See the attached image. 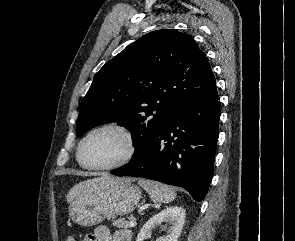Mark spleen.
I'll return each mask as SVG.
<instances>
[{
  "mask_svg": "<svg viewBox=\"0 0 295 241\" xmlns=\"http://www.w3.org/2000/svg\"><path fill=\"white\" fill-rule=\"evenodd\" d=\"M138 184L146 190L153 202L169 203L176 197L175 190L165 184L139 179Z\"/></svg>",
  "mask_w": 295,
  "mask_h": 241,
  "instance_id": "spleen-1",
  "label": "spleen"
}]
</instances>
